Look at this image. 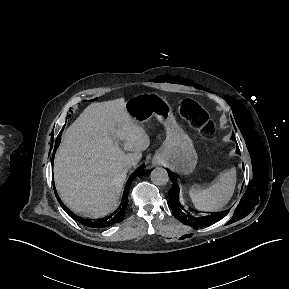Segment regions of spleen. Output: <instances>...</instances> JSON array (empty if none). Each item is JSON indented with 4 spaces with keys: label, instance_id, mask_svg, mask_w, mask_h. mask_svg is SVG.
<instances>
[{
    "label": "spleen",
    "instance_id": "spleen-1",
    "mask_svg": "<svg viewBox=\"0 0 289 289\" xmlns=\"http://www.w3.org/2000/svg\"><path fill=\"white\" fill-rule=\"evenodd\" d=\"M237 181L236 169L223 171L206 189L191 187L189 194L199 211L219 212L231 200Z\"/></svg>",
    "mask_w": 289,
    "mask_h": 289
}]
</instances>
